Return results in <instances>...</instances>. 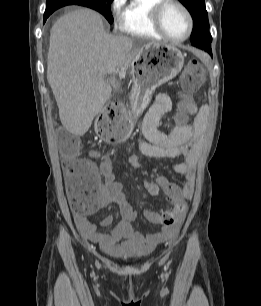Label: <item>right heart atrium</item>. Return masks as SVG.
Listing matches in <instances>:
<instances>
[{
  "mask_svg": "<svg viewBox=\"0 0 261 306\" xmlns=\"http://www.w3.org/2000/svg\"><path fill=\"white\" fill-rule=\"evenodd\" d=\"M122 3H123L122 0H112L111 2V14H112L114 25H118L120 23Z\"/></svg>",
  "mask_w": 261,
  "mask_h": 306,
  "instance_id": "obj_1",
  "label": "right heart atrium"
}]
</instances>
